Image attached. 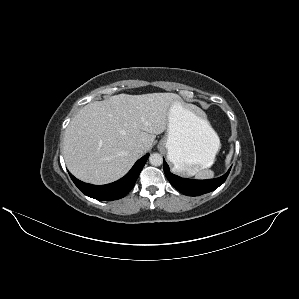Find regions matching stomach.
I'll return each instance as SVG.
<instances>
[{
	"instance_id": "obj_1",
	"label": "stomach",
	"mask_w": 299,
	"mask_h": 299,
	"mask_svg": "<svg viewBox=\"0 0 299 299\" xmlns=\"http://www.w3.org/2000/svg\"><path fill=\"white\" fill-rule=\"evenodd\" d=\"M220 140L205 118L180 100L169 108L166 135L159 148L166 149L174 170L189 174L210 167Z\"/></svg>"
}]
</instances>
